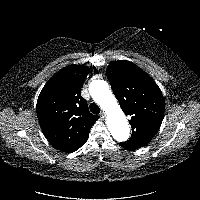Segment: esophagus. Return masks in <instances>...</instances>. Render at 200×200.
<instances>
[{"mask_svg": "<svg viewBox=\"0 0 200 200\" xmlns=\"http://www.w3.org/2000/svg\"><path fill=\"white\" fill-rule=\"evenodd\" d=\"M105 117H106V114H105V112L102 111V112L100 113V118L104 119Z\"/></svg>", "mask_w": 200, "mask_h": 200, "instance_id": "34e87169", "label": "esophagus"}]
</instances>
